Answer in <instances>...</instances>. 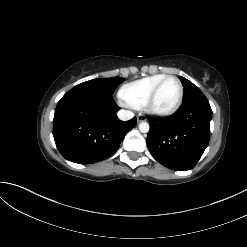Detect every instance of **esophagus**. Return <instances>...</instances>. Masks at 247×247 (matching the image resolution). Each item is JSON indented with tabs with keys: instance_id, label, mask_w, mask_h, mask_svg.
<instances>
[{
	"instance_id": "34e87169",
	"label": "esophagus",
	"mask_w": 247,
	"mask_h": 247,
	"mask_svg": "<svg viewBox=\"0 0 247 247\" xmlns=\"http://www.w3.org/2000/svg\"><path fill=\"white\" fill-rule=\"evenodd\" d=\"M145 120H146V119H145L144 117H142V116H138V117H137L138 123L143 122V121H145Z\"/></svg>"
}]
</instances>
